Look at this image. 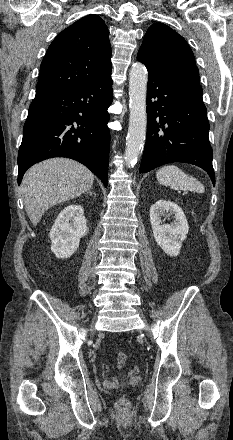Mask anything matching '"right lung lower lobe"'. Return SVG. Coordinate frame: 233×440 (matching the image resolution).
I'll return each instance as SVG.
<instances>
[{
  "instance_id": "1",
  "label": "right lung lower lobe",
  "mask_w": 233,
  "mask_h": 440,
  "mask_svg": "<svg viewBox=\"0 0 233 440\" xmlns=\"http://www.w3.org/2000/svg\"><path fill=\"white\" fill-rule=\"evenodd\" d=\"M113 100L111 73L99 81L36 94L18 153V184L33 164L51 158L79 161L107 186Z\"/></svg>"
}]
</instances>
